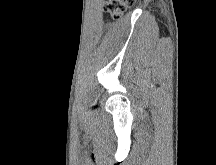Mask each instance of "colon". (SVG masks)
Instances as JSON below:
<instances>
[{
	"label": "colon",
	"mask_w": 216,
	"mask_h": 165,
	"mask_svg": "<svg viewBox=\"0 0 216 165\" xmlns=\"http://www.w3.org/2000/svg\"><path fill=\"white\" fill-rule=\"evenodd\" d=\"M134 3L135 0H106V10L114 19H119L126 8Z\"/></svg>",
	"instance_id": "colon-1"
}]
</instances>
